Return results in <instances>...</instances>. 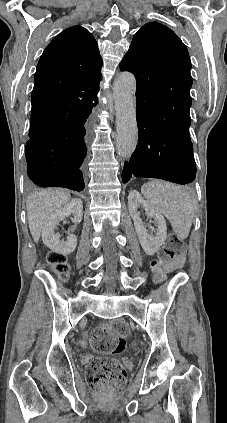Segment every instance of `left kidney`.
I'll return each mask as SVG.
<instances>
[{
    "label": "left kidney",
    "instance_id": "left-kidney-1",
    "mask_svg": "<svg viewBox=\"0 0 227 423\" xmlns=\"http://www.w3.org/2000/svg\"><path fill=\"white\" fill-rule=\"evenodd\" d=\"M140 206L144 208L148 217H153L154 223H157V229H155L153 225H148L149 229H146L147 225L143 223L138 213V208H140ZM128 208L134 221L138 239L145 253H147V255H154V253L158 251L160 245H163L167 237V225L163 215H161L159 211L154 210V208H150L137 190H131L128 196ZM148 231H155V235H153V233H148Z\"/></svg>",
    "mask_w": 227,
    "mask_h": 423
}]
</instances>
